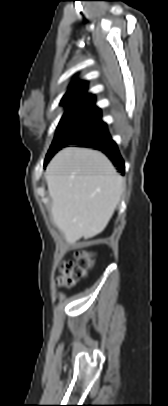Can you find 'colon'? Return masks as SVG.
<instances>
[{
    "label": "colon",
    "instance_id": "colon-1",
    "mask_svg": "<svg viewBox=\"0 0 168 406\" xmlns=\"http://www.w3.org/2000/svg\"><path fill=\"white\" fill-rule=\"evenodd\" d=\"M94 264L93 255L84 250H77L72 259L65 260L60 266V275L57 278L59 287L71 288L87 277Z\"/></svg>",
    "mask_w": 168,
    "mask_h": 406
}]
</instances>
